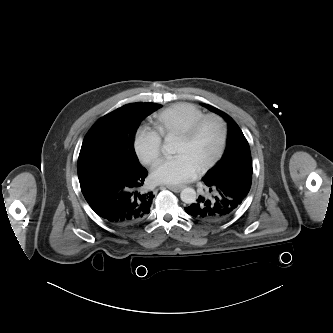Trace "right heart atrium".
Wrapping results in <instances>:
<instances>
[{
    "label": "right heart atrium",
    "mask_w": 333,
    "mask_h": 333,
    "mask_svg": "<svg viewBox=\"0 0 333 333\" xmlns=\"http://www.w3.org/2000/svg\"><path fill=\"white\" fill-rule=\"evenodd\" d=\"M162 139L161 135L147 127L138 130L134 140V148L140 161L151 166L161 156Z\"/></svg>",
    "instance_id": "d8ad5b80"
}]
</instances>
